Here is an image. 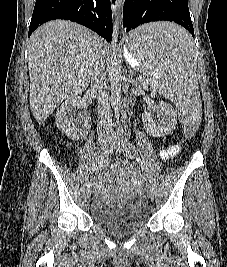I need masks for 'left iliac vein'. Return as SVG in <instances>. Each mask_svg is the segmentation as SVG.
<instances>
[{"label": "left iliac vein", "mask_w": 227, "mask_h": 267, "mask_svg": "<svg viewBox=\"0 0 227 267\" xmlns=\"http://www.w3.org/2000/svg\"><path fill=\"white\" fill-rule=\"evenodd\" d=\"M112 145H114V148L117 150V152L126 154L128 156L131 155V151H130L131 149L129 148L127 142L124 139H122V138H120L114 134L112 135ZM145 189H146V192L148 194V197L151 200H153V198H154L153 186L147 182L145 184Z\"/></svg>", "instance_id": "left-iliac-vein-1"}]
</instances>
